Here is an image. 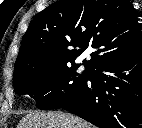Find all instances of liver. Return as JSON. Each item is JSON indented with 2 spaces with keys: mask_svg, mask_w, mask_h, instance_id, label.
<instances>
[{
  "mask_svg": "<svg viewBox=\"0 0 142 128\" xmlns=\"http://www.w3.org/2000/svg\"><path fill=\"white\" fill-rule=\"evenodd\" d=\"M17 128H94L85 120L64 112H31L23 117Z\"/></svg>",
  "mask_w": 142,
  "mask_h": 128,
  "instance_id": "1",
  "label": "liver"
}]
</instances>
